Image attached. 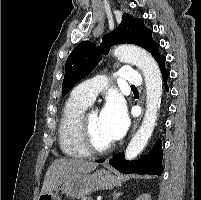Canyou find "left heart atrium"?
Segmentation results:
<instances>
[{"mask_svg": "<svg viewBox=\"0 0 201 200\" xmlns=\"http://www.w3.org/2000/svg\"><path fill=\"white\" fill-rule=\"evenodd\" d=\"M101 120L108 138L114 142L121 139L128 128V116L119 99H110L101 112Z\"/></svg>", "mask_w": 201, "mask_h": 200, "instance_id": "left-heart-atrium-1", "label": "left heart atrium"}]
</instances>
